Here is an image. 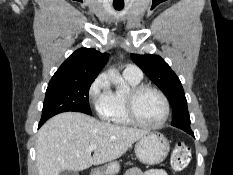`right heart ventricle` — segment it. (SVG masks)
Listing matches in <instances>:
<instances>
[{"instance_id": "e07e8e85", "label": "right heart ventricle", "mask_w": 233, "mask_h": 175, "mask_svg": "<svg viewBox=\"0 0 233 175\" xmlns=\"http://www.w3.org/2000/svg\"><path fill=\"white\" fill-rule=\"evenodd\" d=\"M128 88L137 86L141 79L124 75ZM128 90H109L97 106L98 115L101 119L118 127H129L133 125L130 121L125 107V97Z\"/></svg>"}]
</instances>
